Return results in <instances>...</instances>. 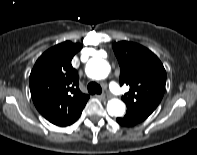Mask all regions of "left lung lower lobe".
Returning a JSON list of instances; mask_svg holds the SVG:
<instances>
[{
    "label": "left lung lower lobe",
    "mask_w": 197,
    "mask_h": 155,
    "mask_svg": "<svg viewBox=\"0 0 197 155\" xmlns=\"http://www.w3.org/2000/svg\"><path fill=\"white\" fill-rule=\"evenodd\" d=\"M117 122L122 126H134L141 122V120L137 119L134 116L126 114L124 117L117 118Z\"/></svg>",
    "instance_id": "1"
}]
</instances>
